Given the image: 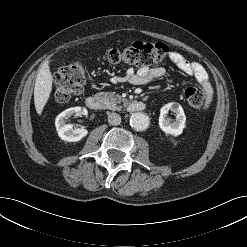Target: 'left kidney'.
Returning <instances> with one entry per match:
<instances>
[{
    "label": "left kidney",
    "instance_id": "left-kidney-1",
    "mask_svg": "<svg viewBox=\"0 0 247 247\" xmlns=\"http://www.w3.org/2000/svg\"><path fill=\"white\" fill-rule=\"evenodd\" d=\"M169 111L176 113V120L172 123L170 122V118L167 117ZM185 122L186 116L179 103H167L160 109L159 127L166 135H181L185 128Z\"/></svg>",
    "mask_w": 247,
    "mask_h": 247
}]
</instances>
